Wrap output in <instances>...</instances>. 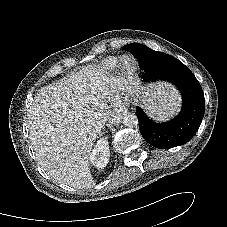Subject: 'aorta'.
<instances>
[{"label":"aorta","mask_w":227,"mask_h":227,"mask_svg":"<svg viewBox=\"0 0 227 227\" xmlns=\"http://www.w3.org/2000/svg\"><path fill=\"white\" fill-rule=\"evenodd\" d=\"M112 120L114 122H122L124 126L133 128L138 125V118L134 113L120 114L119 112H113L111 114Z\"/></svg>","instance_id":"aorta-1"}]
</instances>
